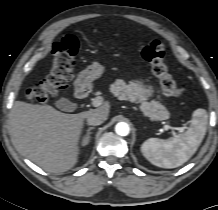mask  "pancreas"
Returning a JSON list of instances; mask_svg holds the SVG:
<instances>
[{
    "label": "pancreas",
    "instance_id": "1",
    "mask_svg": "<svg viewBox=\"0 0 218 210\" xmlns=\"http://www.w3.org/2000/svg\"><path fill=\"white\" fill-rule=\"evenodd\" d=\"M111 92L120 100H129L133 103H140L141 111L153 120L168 119L170 113L165 106L157 101L148 102V98L152 96V89L141 81L129 82L116 80L110 86Z\"/></svg>",
    "mask_w": 218,
    "mask_h": 210
}]
</instances>
